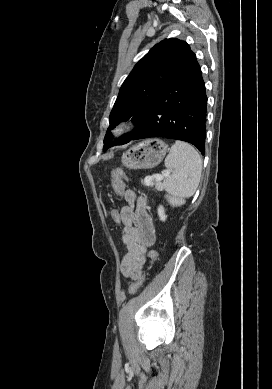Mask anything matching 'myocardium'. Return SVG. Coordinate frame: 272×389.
<instances>
[{
  "mask_svg": "<svg viewBox=\"0 0 272 389\" xmlns=\"http://www.w3.org/2000/svg\"><path fill=\"white\" fill-rule=\"evenodd\" d=\"M132 127V122L130 120H122L117 123V125L114 127L112 133L115 136H123L127 134Z\"/></svg>",
  "mask_w": 272,
  "mask_h": 389,
  "instance_id": "obj_1",
  "label": "myocardium"
}]
</instances>
